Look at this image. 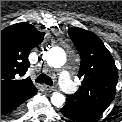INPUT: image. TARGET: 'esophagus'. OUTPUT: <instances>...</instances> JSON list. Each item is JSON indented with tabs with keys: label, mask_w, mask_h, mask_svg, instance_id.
<instances>
[{
	"label": "esophagus",
	"mask_w": 122,
	"mask_h": 122,
	"mask_svg": "<svg viewBox=\"0 0 122 122\" xmlns=\"http://www.w3.org/2000/svg\"><path fill=\"white\" fill-rule=\"evenodd\" d=\"M44 88H45V90H47V91H49V92H52V91L55 90L54 87H52V86H48V85H44Z\"/></svg>",
	"instance_id": "esophagus-1"
}]
</instances>
